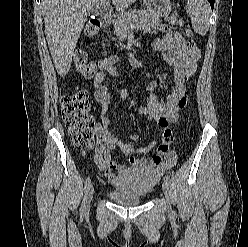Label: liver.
I'll list each match as a JSON object with an SVG mask.
<instances>
[{
	"instance_id": "obj_1",
	"label": "liver",
	"mask_w": 248,
	"mask_h": 247,
	"mask_svg": "<svg viewBox=\"0 0 248 247\" xmlns=\"http://www.w3.org/2000/svg\"><path fill=\"white\" fill-rule=\"evenodd\" d=\"M112 4L118 11L128 8L136 0H43L45 35L59 76H65L87 16Z\"/></svg>"
}]
</instances>
